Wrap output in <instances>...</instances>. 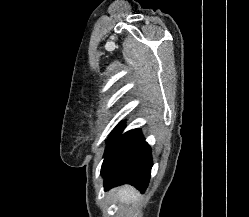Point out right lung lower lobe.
<instances>
[{"instance_id": "obj_1", "label": "right lung lower lobe", "mask_w": 249, "mask_h": 217, "mask_svg": "<svg viewBox=\"0 0 249 217\" xmlns=\"http://www.w3.org/2000/svg\"><path fill=\"white\" fill-rule=\"evenodd\" d=\"M123 128L122 122L108 140L101 169L104 187L110 189L128 183L144 192L152 167L151 148L140 130H130L122 135Z\"/></svg>"}]
</instances>
